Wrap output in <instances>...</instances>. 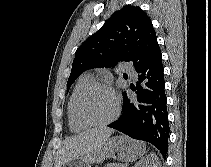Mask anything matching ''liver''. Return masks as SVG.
I'll list each match as a JSON object with an SVG mask.
<instances>
[{"mask_svg": "<svg viewBox=\"0 0 211 167\" xmlns=\"http://www.w3.org/2000/svg\"><path fill=\"white\" fill-rule=\"evenodd\" d=\"M113 132L111 128L98 127L67 138L57 153L54 167H61L78 156L101 149Z\"/></svg>", "mask_w": 211, "mask_h": 167, "instance_id": "liver-1", "label": "liver"}]
</instances>
